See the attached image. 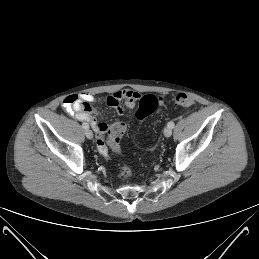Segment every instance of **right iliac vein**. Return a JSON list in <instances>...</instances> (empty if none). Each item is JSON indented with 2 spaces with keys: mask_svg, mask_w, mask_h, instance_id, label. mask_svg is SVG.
<instances>
[{
  "mask_svg": "<svg viewBox=\"0 0 259 259\" xmlns=\"http://www.w3.org/2000/svg\"><path fill=\"white\" fill-rule=\"evenodd\" d=\"M85 135L88 139H92L93 138V132L90 129H86L85 130Z\"/></svg>",
  "mask_w": 259,
  "mask_h": 259,
  "instance_id": "63e3f726",
  "label": "right iliac vein"
}]
</instances>
